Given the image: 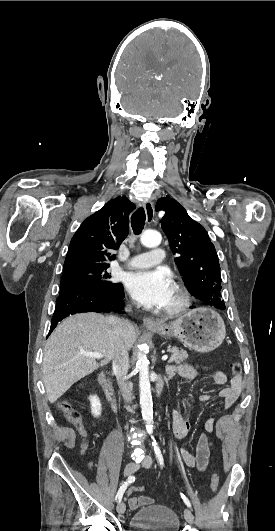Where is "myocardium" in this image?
I'll use <instances>...</instances> for the list:
<instances>
[{"mask_svg":"<svg viewBox=\"0 0 275 531\" xmlns=\"http://www.w3.org/2000/svg\"><path fill=\"white\" fill-rule=\"evenodd\" d=\"M173 288L177 294L176 300L170 306L162 309L165 315H177L183 312L189 305L190 296L187 289L178 282L173 284Z\"/></svg>","mask_w":275,"mask_h":531,"instance_id":"1","label":"myocardium"}]
</instances>
